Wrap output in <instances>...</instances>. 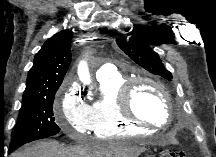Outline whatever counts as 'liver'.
<instances>
[{
    "instance_id": "1",
    "label": "liver",
    "mask_w": 216,
    "mask_h": 157,
    "mask_svg": "<svg viewBox=\"0 0 216 157\" xmlns=\"http://www.w3.org/2000/svg\"><path fill=\"white\" fill-rule=\"evenodd\" d=\"M143 151L144 148L121 142L65 147L55 141H49L27 146L14 152L11 157H137Z\"/></svg>"
}]
</instances>
